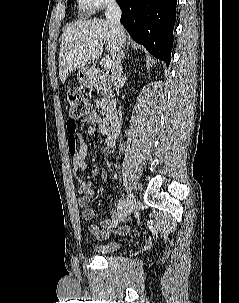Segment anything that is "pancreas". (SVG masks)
<instances>
[{
    "label": "pancreas",
    "instance_id": "cf45deb5",
    "mask_svg": "<svg viewBox=\"0 0 239 303\" xmlns=\"http://www.w3.org/2000/svg\"><path fill=\"white\" fill-rule=\"evenodd\" d=\"M96 85L99 86L101 91V99L99 101V106L101 108L102 115H108L112 108V88L109 83H106L105 79H99L96 82Z\"/></svg>",
    "mask_w": 239,
    "mask_h": 303
}]
</instances>
